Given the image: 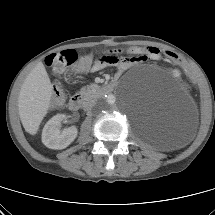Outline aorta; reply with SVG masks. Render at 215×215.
<instances>
[{
  "label": "aorta",
  "instance_id": "1",
  "mask_svg": "<svg viewBox=\"0 0 215 215\" xmlns=\"http://www.w3.org/2000/svg\"><path fill=\"white\" fill-rule=\"evenodd\" d=\"M116 102V97L113 94H108L103 97L100 101V104L103 108H112Z\"/></svg>",
  "mask_w": 215,
  "mask_h": 215
}]
</instances>
